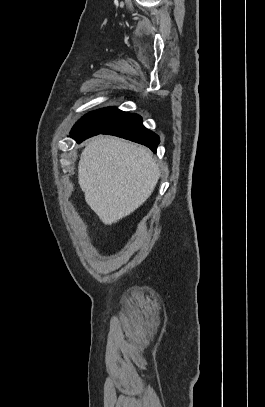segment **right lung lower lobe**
<instances>
[{
	"mask_svg": "<svg viewBox=\"0 0 265 407\" xmlns=\"http://www.w3.org/2000/svg\"><path fill=\"white\" fill-rule=\"evenodd\" d=\"M101 133L118 136L143 144L149 147L153 152H156L157 146L160 142L159 137L154 132L146 129L143 126L142 118L137 114H129L126 118L102 131ZM73 138L76 139L77 142H81L89 137L84 136Z\"/></svg>",
	"mask_w": 265,
	"mask_h": 407,
	"instance_id": "obj_1",
	"label": "right lung lower lobe"
}]
</instances>
